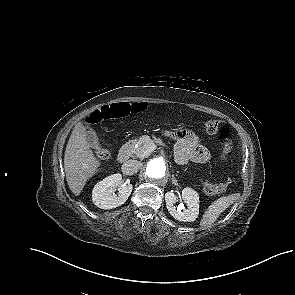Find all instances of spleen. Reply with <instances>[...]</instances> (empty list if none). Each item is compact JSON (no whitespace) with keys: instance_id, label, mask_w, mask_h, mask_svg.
Masks as SVG:
<instances>
[{"instance_id":"1","label":"spleen","mask_w":295,"mask_h":295,"mask_svg":"<svg viewBox=\"0 0 295 295\" xmlns=\"http://www.w3.org/2000/svg\"><path fill=\"white\" fill-rule=\"evenodd\" d=\"M239 198V194H231L228 196L220 197L215 200L203 214L200 225L202 228L210 227L230 205Z\"/></svg>"}]
</instances>
